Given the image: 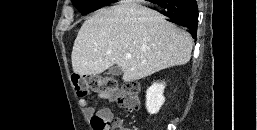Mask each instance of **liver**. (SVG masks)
I'll return each mask as SVG.
<instances>
[{"label": "liver", "mask_w": 257, "mask_h": 130, "mask_svg": "<svg viewBox=\"0 0 257 130\" xmlns=\"http://www.w3.org/2000/svg\"><path fill=\"white\" fill-rule=\"evenodd\" d=\"M193 44L189 33L159 12L123 2L98 10L82 24L72 49V67L83 76L101 74L117 64L122 79L131 82L188 63Z\"/></svg>", "instance_id": "liver-1"}]
</instances>
